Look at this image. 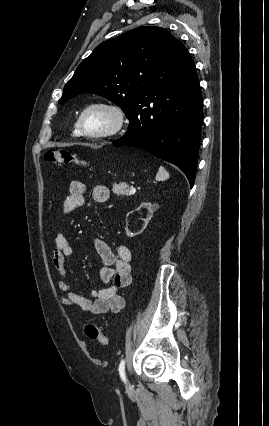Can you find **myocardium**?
I'll use <instances>...</instances> for the list:
<instances>
[{
	"label": "myocardium",
	"instance_id": "1",
	"mask_svg": "<svg viewBox=\"0 0 269 426\" xmlns=\"http://www.w3.org/2000/svg\"><path fill=\"white\" fill-rule=\"evenodd\" d=\"M92 109H104L108 111L113 117V122L111 126L107 128L106 130H103L100 132L88 131L84 126V118H85V115ZM125 123H126V115L121 107L110 102L98 101V102H93L88 104L81 111L77 121V127L79 130V133L84 137L91 138V139H104V138H110L119 134L124 128Z\"/></svg>",
	"mask_w": 269,
	"mask_h": 426
}]
</instances>
